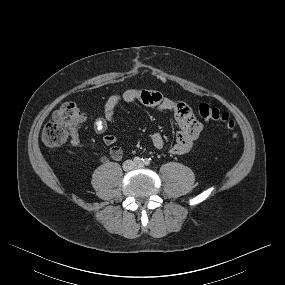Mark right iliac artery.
<instances>
[{
    "label": "right iliac artery",
    "mask_w": 285,
    "mask_h": 285,
    "mask_svg": "<svg viewBox=\"0 0 285 285\" xmlns=\"http://www.w3.org/2000/svg\"><path fill=\"white\" fill-rule=\"evenodd\" d=\"M133 161H134V163H136V164H140V163H142L143 158H140V157H134Z\"/></svg>",
    "instance_id": "82829eb1"
}]
</instances>
